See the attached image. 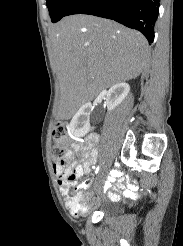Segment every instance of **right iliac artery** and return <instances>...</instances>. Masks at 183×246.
<instances>
[{
    "mask_svg": "<svg viewBox=\"0 0 183 246\" xmlns=\"http://www.w3.org/2000/svg\"><path fill=\"white\" fill-rule=\"evenodd\" d=\"M98 171H99V167L96 168L95 173H98ZM117 175H118V172H117V171H114V170H113V171L111 172V176H112L111 178L117 177Z\"/></svg>",
    "mask_w": 183,
    "mask_h": 246,
    "instance_id": "right-iliac-artery-1",
    "label": "right iliac artery"
}]
</instances>
